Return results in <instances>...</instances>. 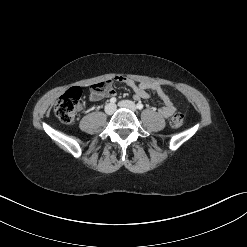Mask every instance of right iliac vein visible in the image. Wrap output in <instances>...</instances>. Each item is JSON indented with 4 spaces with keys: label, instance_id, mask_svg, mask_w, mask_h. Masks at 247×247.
Wrapping results in <instances>:
<instances>
[{
    "label": "right iliac vein",
    "instance_id": "obj_1",
    "mask_svg": "<svg viewBox=\"0 0 247 247\" xmlns=\"http://www.w3.org/2000/svg\"><path fill=\"white\" fill-rule=\"evenodd\" d=\"M115 110H116V107H115V105L112 104V103H109V104H107V105L105 106V112H106V114H108V115H112V114L115 112Z\"/></svg>",
    "mask_w": 247,
    "mask_h": 247
}]
</instances>
